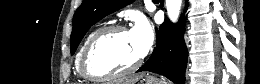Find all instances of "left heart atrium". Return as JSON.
Here are the masks:
<instances>
[{
  "instance_id": "1",
  "label": "left heart atrium",
  "mask_w": 260,
  "mask_h": 84,
  "mask_svg": "<svg viewBox=\"0 0 260 84\" xmlns=\"http://www.w3.org/2000/svg\"><path fill=\"white\" fill-rule=\"evenodd\" d=\"M130 33L139 54L145 55L154 41V32L150 23L145 18L140 17L136 20Z\"/></svg>"
}]
</instances>
